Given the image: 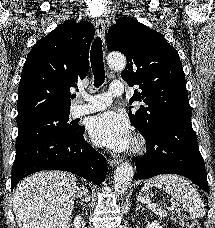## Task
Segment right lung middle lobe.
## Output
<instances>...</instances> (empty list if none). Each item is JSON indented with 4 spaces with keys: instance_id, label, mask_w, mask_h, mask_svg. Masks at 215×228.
<instances>
[{
    "instance_id": "obj_1",
    "label": "right lung middle lobe",
    "mask_w": 215,
    "mask_h": 228,
    "mask_svg": "<svg viewBox=\"0 0 215 228\" xmlns=\"http://www.w3.org/2000/svg\"><path fill=\"white\" fill-rule=\"evenodd\" d=\"M69 113L43 115L17 122L18 137L16 139V145L48 134L75 136L82 127L68 123Z\"/></svg>"
}]
</instances>
